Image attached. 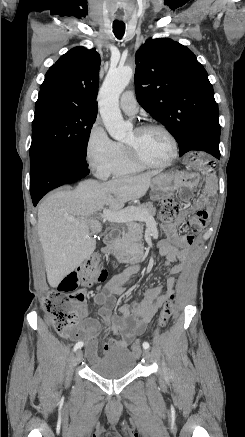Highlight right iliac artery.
Wrapping results in <instances>:
<instances>
[{
	"mask_svg": "<svg viewBox=\"0 0 245 437\" xmlns=\"http://www.w3.org/2000/svg\"><path fill=\"white\" fill-rule=\"evenodd\" d=\"M82 346H83V342L82 341L76 343L75 346H74V351H76L77 349L81 348Z\"/></svg>",
	"mask_w": 245,
	"mask_h": 437,
	"instance_id": "obj_1",
	"label": "right iliac artery"
}]
</instances>
